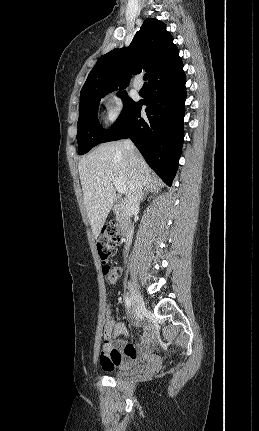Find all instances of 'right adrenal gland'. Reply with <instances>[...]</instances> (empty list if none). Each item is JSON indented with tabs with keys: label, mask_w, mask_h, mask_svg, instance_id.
<instances>
[{
	"label": "right adrenal gland",
	"mask_w": 259,
	"mask_h": 431,
	"mask_svg": "<svg viewBox=\"0 0 259 431\" xmlns=\"http://www.w3.org/2000/svg\"><path fill=\"white\" fill-rule=\"evenodd\" d=\"M156 190H157V188H156L155 186H149V187L145 188V189H144V192H143V194H142V196H141V200H143L144 196H145L148 192H154V191H156Z\"/></svg>",
	"instance_id": "right-adrenal-gland-1"
}]
</instances>
